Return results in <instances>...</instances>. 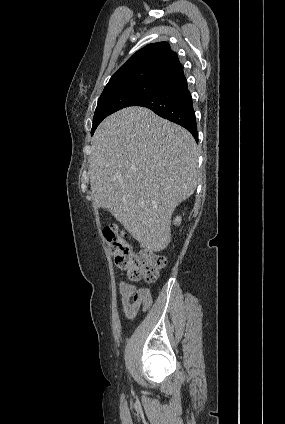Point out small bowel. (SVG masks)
I'll return each mask as SVG.
<instances>
[{
    "instance_id": "1",
    "label": "small bowel",
    "mask_w": 285,
    "mask_h": 424,
    "mask_svg": "<svg viewBox=\"0 0 285 424\" xmlns=\"http://www.w3.org/2000/svg\"><path fill=\"white\" fill-rule=\"evenodd\" d=\"M119 289L122 296V313L127 319L133 320L139 311H147L150 308L152 298L147 288H137L127 281H121Z\"/></svg>"
}]
</instances>
